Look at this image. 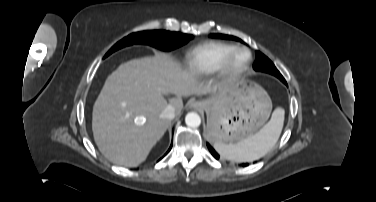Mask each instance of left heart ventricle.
<instances>
[{
  "label": "left heart ventricle",
  "mask_w": 376,
  "mask_h": 202,
  "mask_svg": "<svg viewBox=\"0 0 376 202\" xmlns=\"http://www.w3.org/2000/svg\"><path fill=\"white\" fill-rule=\"evenodd\" d=\"M245 60L244 55H239L235 60H234V65H239Z\"/></svg>",
  "instance_id": "1"
}]
</instances>
